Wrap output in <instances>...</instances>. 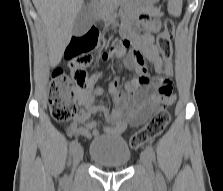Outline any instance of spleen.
<instances>
[{"mask_svg":"<svg viewBox=\"0 0 223 191\" xmlns=\"http://www.w3.org/2000/svg\"><path fill=\"white\" fill-rule=\"evenodd\" d=\"M168 10L173 16H180L182 10V0H169Z\"/></svg>","mask_w":223,"mask_h":191,"instance_id":"1","label":"spleen"}]
</instances>
